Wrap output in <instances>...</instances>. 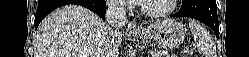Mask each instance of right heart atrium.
<instances>
[{"instance_id":"1","label":"right heart atrium","mask_w":249,"mask_h":57,"mask_svg":"<svg viewBox=\"0 0 249 57\" xmlns=\"http://www.w3.org/2000/svg\"><path fill=\"white\" fill-rule=\"evenodd\" d=\"M108 4L118 10L124 9L125 7V3L123 1H108Z\"/></svg>"}]
</instances>
